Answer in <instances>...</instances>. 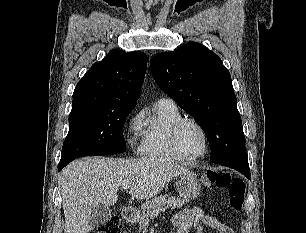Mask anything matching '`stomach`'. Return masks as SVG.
I'll list each match as a JSON object with an SVG mask.
<instances>
[{
  "label": "stomach",
  "mask_w": 306,
  "mask_h": 233,
  "mask_svg": "<svg viewBox=\"0 0 306 233\" xmlns=\"http://www.w3.org/2000/svg\"><path fill=\"white\" fill-rule=\"evenodd\" d=\"M176 185L180 196L185 200L195 199L200 194V183L196 174L192 172L181 174Z\"/></svg>",
  "instance_id": "1"
}]
</instances>
